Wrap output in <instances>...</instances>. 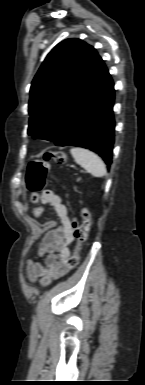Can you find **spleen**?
<instances>
[{
    "instance_id": "obj_1",
    "label": "spleen",
    "mask_w": 145,
    "mask_h": 385,
    "mask_svg": "<svg viewBox=\"0 0 145 385\" xmlns=\"http://www.w3.org/2000/svg\"><path fill=\"white\" fill-rule=\"evenodd\" d=\"M75 162L85 168L95 177H103L106 174V166L102 159L94 152L80 147L70 150Z\"/></svg>"
}]
</instances>
